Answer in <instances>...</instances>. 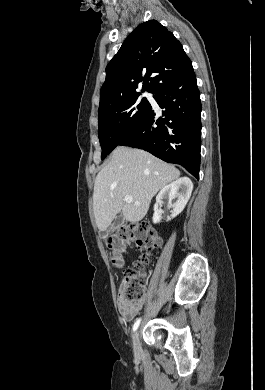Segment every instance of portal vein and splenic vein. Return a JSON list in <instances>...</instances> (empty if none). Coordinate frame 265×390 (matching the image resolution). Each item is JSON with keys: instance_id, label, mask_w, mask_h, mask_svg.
Wrapping results in <instances>:
<instances>
[{"instance_id": "1", "label": "portal vein and splenic vein", "mask_w": 265, "mask_h": 390, "mask_svg": "<svg viewBox=\"0 0 265 390\" xmlns=\"http://www.w3.org/2000/svg\"><path fill=\"white\" fill-rule=\"evenodd\" d=\"M124 201L128 204L132 203L133 202V198L131 196H125L124 197ZM135 205L139 206L140 203L139 202H135Z\"/></svg>"}]
</instances>
